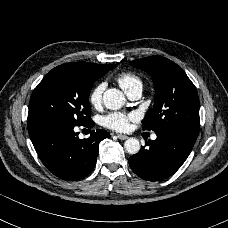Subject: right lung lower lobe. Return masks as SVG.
Masks as SVG:
<instances>
[{
    "instance_id": "obj_1",
    "label": "right lung lower lobe",
    "mask_w": 228,
    "mask_h": 228,
    "mask_svg": "<svg viewBox=\"0 0 228 228\" xmlns=\"http://www.w3.org/2000/svg\"><path fill=\"white\" fill-rule=\"evenodd\" d=\"M75 126L62 120H44L28 125L34 148L47 169L55 176L76 181L87 176L95 167L99 143L110 138L104 130H92L87 139H79ZM91 128L94 122L83 125Z\"/></svg>"
}]
</instances>
